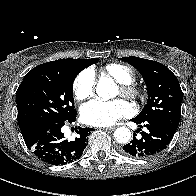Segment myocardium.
Returning <instances> with one entry per match:
<instances>
[{
  "label": "myocardium",
  "instance_id": "obj_1",
  "mask_svg": "<svg viewBox=\"0 0 196 196\" xmlns=\"http://www.w3.org/2000/svg\"><path fill=\"white\" fill-rule=\"evenodd\" d=\"M121 95L130 99L141 97V90L133 83L120 84Z\"/></svg>",
  "mask_w": 196,
  "mask_h": 196
}]
</instances>
